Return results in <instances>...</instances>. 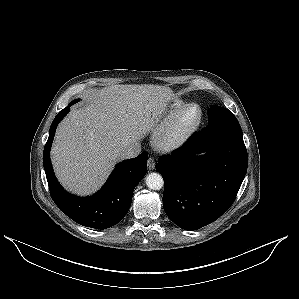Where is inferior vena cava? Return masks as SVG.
Instances as JSON below:
<instances>
[{
	"label": "inferior vena cava",
	"mask_w": 299,
	"mask_h": 299,
	"mask_svg": "<svg viewBox=\"0 0 299 299\" xmlns=\"http://www.w3.org/2000/svg\"><path fill=\"white\" fill-rule=\"evenodd\" d=\"M140 152L141 144L138 142H133L128 144L124 149H122L120 156L123 159H129L138 156Z\"/></svg>",
	"instance_id": "1"
}]
</instances>
